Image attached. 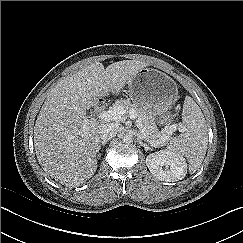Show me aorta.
I'll return each mask as SVG.
<instances>
[{
  "instance_id": "762f6f07",
  "label": "aorta",
  "mask_w": 243,
  "mask_h": 243,
  "mask_svg": "<svg viewBox=\"0 0 243 243\" xmlns=\"http://www.w3.org/2000/svg\"><path fill=\"white\" fill-rule=\"evenodd\" d=\"M122 140L124 143H132L133 142V135L130 133H126L123 135Z\"/></svg>"
}]
</instances>
